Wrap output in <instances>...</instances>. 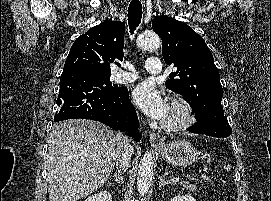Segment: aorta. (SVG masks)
<instances>
[{
    "instance_id": "aorta-1",
    "label": "aorta",
    "mask_w": 271,
    "mask_h": 201,
    "mask_svg": "<svg viewBox=\"0 0 271 201\" xmlns=\"http://www.w3.org/2000/svg\"><path fill=\"white\" fill-rule=\"evenodd\" d=\"M161 40L154 32H145L137 39V46L142 50L159 49ZM153 178V158L146 152L140 160L137 174V190L140 196H144L152 183Z\"/></svg>"
}]
</instances>
